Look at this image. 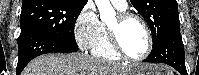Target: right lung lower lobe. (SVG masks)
Masks as SVG:
<instances>
[{
  "label": "right lung lower lobe",
  "instance_id": "right-lung-lower-lobe-1",
  "mask_svg": "<svg viewBox=\"0 0 199 75\" xmlns=\"http://www.w3.org/2000/svg\"><path fill=\"white\" fill-rule=\"evenodd\" d=\"M18 49L16 74L20 75L24 67L39 55L53 52L71 53L78 51L79 48L46 35L33 34L18 40Z\"/></svg>",
  "mask_w": 199,
  "mask_h": 75
}]
</instances>
